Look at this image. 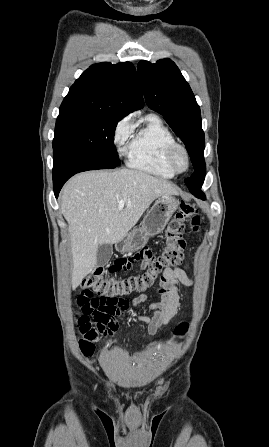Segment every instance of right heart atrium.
I'll use <instances>...</instances> for the list:
<instances>
[{
  "label": "right heart atrium",
  "instance_id": "1",
  "mask_svg": "<svg viewBox=\"0 0 269 447\" xmlns=\"http://www.w3.org/2000/svg\"><path fill=\"white\" fill-rule=\"evenodd\" d=\"M134 130V124L129 115L121 118L115 125L113 130V143L117 151L121 154L124 151V144Z\"/></svg>",
  "mask_w": 269,
  "mask_h": 447
}]
</instances>
